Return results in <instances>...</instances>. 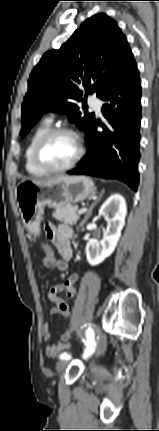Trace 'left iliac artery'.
Segmentation results:
<instances>
[{"label":"left iliac artery","mask_w":159,"mask_h":431,"mask_svg":"<svg viewBox=\"0 0 159 431\" xmlns=\"http://www.w3.org/2000/svg\"><path fill=\"white\" fill-rule=\"evenodd\" d=\"M86 344H87V347H86L84 355H83L84 359L88 358L95 350L96 344H95L94 334H93L91 328H89L87 330V342H86ZM70 358H71V356L68 355L67 353H63L60 355V359L69 360Z\"/></svg>","instance_id":"left-iliac-artery-1"}]
</instances>
